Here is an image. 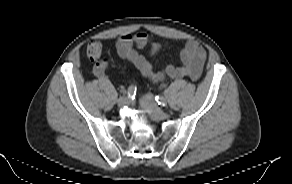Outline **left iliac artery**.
<instances>
[{
  "label": "left iliac artery",
  "instance_id": "44dca946",
  "mask_svg": "<svg viewBox=\"0 0 292 184\" xmlns=\"http://www.w3.org/2000/svg\"><path fill=\"white\" fill-rule=\"evenodd\" d=\"M155 100L157 101V103H158L159 105H163V106H165V105L167 104L166 99H165L163 96H161V95H157V96L155 97Z\"/></svg>",
  "mask_w": 292,
  "mask_h": 184
}]
</instances>
